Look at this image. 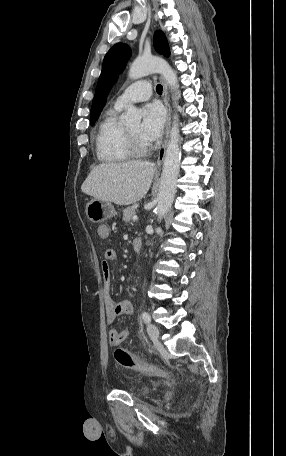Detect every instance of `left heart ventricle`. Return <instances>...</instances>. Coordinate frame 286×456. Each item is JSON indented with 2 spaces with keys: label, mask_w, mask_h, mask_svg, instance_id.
<instances>
[{
  "label": "left heart ventricle",
  "mask_w": 286,
  "mask_h": 456,
  "mask_svg": "<svg viewBox=\"0 0 286 456\" xmlns=\"http://www.w3.org/2000/svg\"><path fill=\"white\" fill-rule=\"evenodd\" d=\"M128 130L136 137V139L142 143V144H148L147 142H145L141 136H140V125L137 124V125H134V126H131V127H128Z\"/></svg>",
  "instance_id": "left-heart-ventricle-1"
}]
</instances>
